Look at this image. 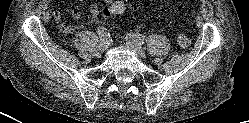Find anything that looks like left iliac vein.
Masks as SVG:
<instances>
[{
    "instance_id": "obj_1",
    "label": "left iliac vein",
    "mask_w": 249,
    "mask_h": 123,
    "mask_svg": "<svg viewBox=\"0 0 249 123\" xmlns=\"http://www.w3.org/2000/svg\"><path fill=\"white\" fill-rule=\"evenodd\" d=\"M127 39V43L128 45L142 58L145 57V51L144 49L141 47V44L134 39L133 37H131L130 35H127L126 37Z\"/></svg>"
}]
</instances>
